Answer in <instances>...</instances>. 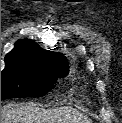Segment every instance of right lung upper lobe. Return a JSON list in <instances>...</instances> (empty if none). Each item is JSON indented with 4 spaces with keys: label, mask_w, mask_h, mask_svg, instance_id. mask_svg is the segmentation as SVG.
Segmentation results:
<instances>
[{
    "label": "right lung upper lobe",
    "mask_w": 122,
    "mask_h": 123,
    "mask_svg": "<svg viewBox=\"0 0 122 123\" xmlns=\"http://www.w3.org/2000/svg\"><path fill=\"white\" fill-rule=\"evenodd\" d=\"M5 61H17L41 67H66L68 65L62 53L44 50L37 43L28 39L18 40L15 48L5 56Z\"/></svg>",
    "instance_id": "cb5924a9"
}]
</instances>
